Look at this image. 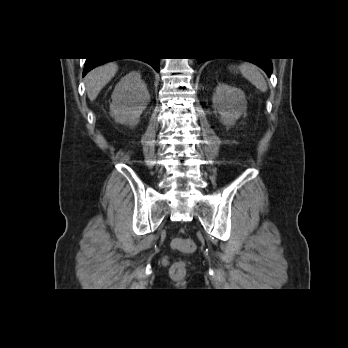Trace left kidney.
I'll use <instances>...</instances> for the list:
<instances>
[{
  "label": "left kidney",
  "mask_w": 348,
  "mask_h": 348,
  "mask_svg": "<svg viewBox=\"0 0 348 348\" xmlns=\"http://www.w3.org/2000/svg\"><path fill=\"white\" fill-rule=\"evenodd\" d=\"M213 108L220 114L224 125H233L246 110L244 92L226 84H219L212 97Z\"/></svg>",
  "instance_id": "obj_1"
}]
</instances>
